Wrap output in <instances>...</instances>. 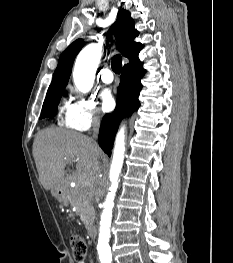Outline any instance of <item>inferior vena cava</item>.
<instances>
[{
  "mask_svg": "<svg viewBox=\"0 0 233 263\" xmlns=\"http://www.w3.org/2000/svg\"><path fill=\"white\" fill-rule=\"evenodd\" d=\"M99 126H100V118L98 116H94L92 118V129H93V136H96L99 130Z\"/></svg>",
  "mask_w": 233,
  "mask_h": 263,
  "instance_id": "1",
  "label": "inferior vena cava"
}]
</instances>
